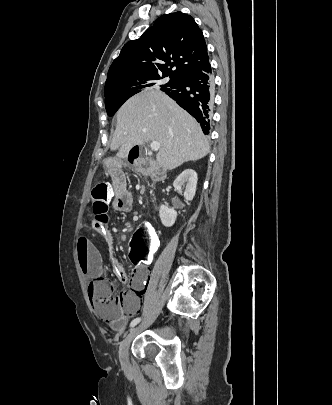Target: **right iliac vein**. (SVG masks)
Returning a JSON list of instances; mask_svg holds the SVG:
<instances>
[{
  "mask_svg": "<svg viewBox=\"0 0 332 405\" xmlns=\"http://www.w3.org/2000/svg\"><path fill=\"white\" fill-rule=\"evenodd\" d=\"M141 328V325L138 327H135L130 330V332L127 334V336L124 338V340L121 342L120 348H119V360L122 366L126 367L128 364V351H129V346L134 339V337L137 335Z\"/></svg>",
  "mask_w": 332,
  "mask_h": 405,
  "instance_id": "right-iliac-vein-1",
  "label": "right iliac vein"
}]
</instances>
